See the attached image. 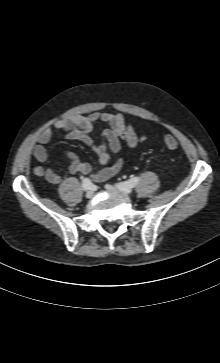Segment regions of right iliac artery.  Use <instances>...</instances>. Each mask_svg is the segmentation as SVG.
<instances>
[{
    "mask_svg": "<svg viewBox=\"0 0 220 363\" xmlns=\"http://www.w3.org/2000/svg\"><path fill=\"white\" fill-rule=\"evenodd\" d=\"M83 190H89L92 187V182L89 178H84L82 182Z\"/></svg>",
    "mask_w": 220,
    "mask_h": 363,
    "instance_id": "1",
    "label": "right iliac artery"
}]
</instances>
